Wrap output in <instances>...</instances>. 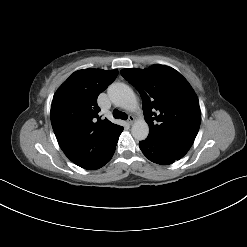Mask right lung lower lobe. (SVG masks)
Masks as SVG:
<instances>
[{
	"instance_id": "98d812e1",
	"label": "right lung lower lobe",
	"mask_w": 247,
	"mask_h": 247,
	"mask_svg": "<svg viewBox=\"0 0 247 247\" xmlns=\"http://www.w3.org/2000/svg\"><path fill=\"white\" fill-rule=\"evenodd\" d=\"M122 131L123 127L118 126L112 132L103 136L100 140L95 142L90 155L84 161L76 165L88 170H96L103 167L111 160Z\"/></svg>"
}]
</instances>
